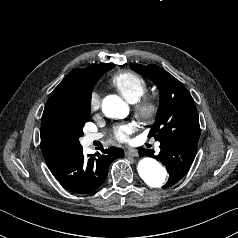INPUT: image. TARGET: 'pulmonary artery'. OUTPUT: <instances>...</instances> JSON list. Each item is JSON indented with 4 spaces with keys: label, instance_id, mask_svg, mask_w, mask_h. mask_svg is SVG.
Here are the masks:
<instances>
[{
    "label": "pulmonary artery",
    "instance_id": "1",
    "mask_svg": "<svg viewBox=\"0 0 238 238\" xmlns=\"http://www.w3.org/2000/svg\"><path fill=\"white\" fill-rule=\"evenodd\" d=\"M102 137L99 133H89L84 137L86 144H91L93 141L98 140ZM156 149L159 150V143L156 144Z\"/></svg>",
    "mask_w": 238,
    "mask_h": 238
}]
</instances>
